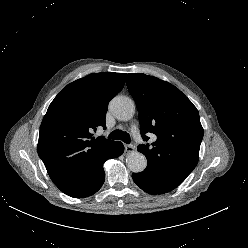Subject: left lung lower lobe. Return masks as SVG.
Wrapping results in <instances>:
<instances>
[{
  "label": "left lung lower lobe",
  "instance_id": "left-lung-lower-lobe-1",
  "mask_svg": "<svg viewBox=\"0 0 248 248\" xmlns=\"http://www.w3.org/2000/svg\"><path fill=\"white\" fill-rule=\"evenodd\" d=\"M132 178L142 190L152 195L164 194L176 188L160 179L155 173L147 170L140 173H133Z\"/></svg>",
  "mask_w": 248,
  "mask_h": 248
}]
</instances>
